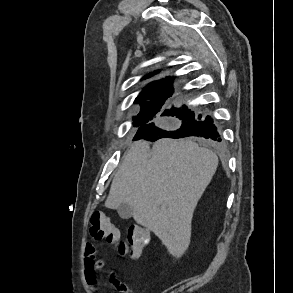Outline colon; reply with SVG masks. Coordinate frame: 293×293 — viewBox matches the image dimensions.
Masks as SVG:
<instances>
[{
    "label": "colon",
    "instance_id": "obj_1",
    "mask_svg": "<svg viewBox=\"0 0 293 293\" xmlns=\"http://www.w3.org/2000/svg\"><path fill=\"white\" fill-rule=\"evenodd\" d=\"M90 235L95 240H106L118 243L119 254L131 259L139 257L146 247L149 231L140 225H131L127 230V243H119V232L115 224L102 211H94L90 218Z\"/></svg>",
    "mask_w": 293,
    "mask_h": 293
}]
</instances>
